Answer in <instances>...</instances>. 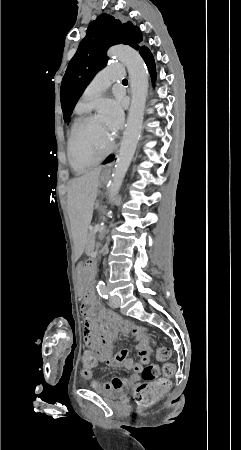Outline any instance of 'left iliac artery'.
Returning <instances> with one entry per match:
<instances>
[{
  "instance_id": "left-iliac-artery-1",
  "label": "left iliac artery",
  "mask_w": 241,
  "mask_h": 450,
  "mask_svg": "<svg viewBox=\"0 0 241 450\" xmlns=\"http://www.w3.org/2000/svg\"><path fill=\"white\" fill-rule=\"evenodd\" d=\"M97 291L101 297L108 299V289L106 285H99Z\"/></svg>"
}]
</instances>
